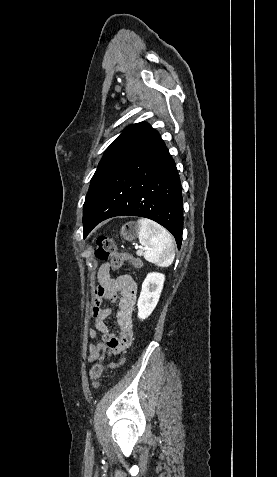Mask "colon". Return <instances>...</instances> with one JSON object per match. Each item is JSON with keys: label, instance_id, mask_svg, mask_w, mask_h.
<instances>
[{"label": "colon", "instance_id": "obj_1", "mask_svg": "<svg viewBox=\"0 0 277 477\" xmlns=\"http://www.w3.org/2000/svg\"><path fill=\"white\" fill-rule=\"evenodd\" d=\"M95 256L104 261H109L112 269L118 270L128 264L129 268H142L143 261L139 256L119 249L115 243L106 236H99L96 241ZM103 372L102 364H95L90 370V377L96 380Z\"/></svg>", "mask_w": 277, "mask_h": 477}]
</instances>
